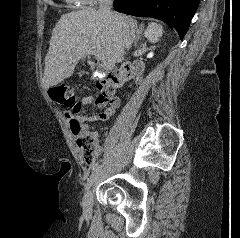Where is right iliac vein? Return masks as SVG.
Returning a JSON list of instances; mask_svg holds the SVG:
<instances>
[{
  "instance_id": "obj_1",
  "label": "right iliac vein",
  "mask_w": 240,
  "mask_h": 238,
  "mask_svg": "<svg viewBox=\"0 0 240 238\" xmlns=\"http://www.w3.org/2000/svg\"><path fill=\"white\" fill-rule=\"evenodd\" d=\"M92 205H93L92 190H88L84 195V198L82 201L83 211L85 214L91 213Z\"/></svg>"
}]
</instances>
